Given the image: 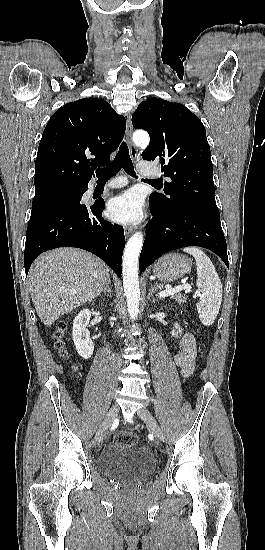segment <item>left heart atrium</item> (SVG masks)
Returning <instances> with one entry per match:
<instances>
[{
    "instance_id": "39dd6f15",
    "label": "left heart atrium",
    "mask_w": 265,
    "mask_h": 550,
    "mask_svg": "<svg viewBox=\"0 0 265 550\" xmlns=\"http://www.w3.org/2000/svg\"><path fill=\"white\" fill-rule=\"evenodd\" d=\"M107 215L121 224L136 223L143 216L142 200L133 191L124 192L109 201Z\"/></svg>"
}]
</instances>
